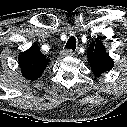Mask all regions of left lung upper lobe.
<instances>
[{
    "label": "left lung upper lobe",
    "instance_id": "5c2ea615",
    "mask_svg": "<svg viewBox=\"0 0 127 127\" xmlns=\"http://www.w3.org/2000/svg\"><path fill=\"white\" fill-rule=\"evenodd\" d=\"M88 62L96 77L110 71L113 68L114 62L108 53L105 51L103 43L96 39L93 41L87 50Z\"/></svg>",
    "mask_w": 127,
    "mask_h": 127
}]
</instances>
